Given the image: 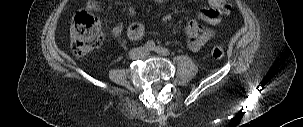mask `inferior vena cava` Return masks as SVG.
<instances>
[{
  "instance_id": "obj_1",
  "label": "inferior vena cava",
  "mask_w": 303,
  "mask_h": 127,
  "mask_svg": "<svg viewBox=\"0 0 303 127\" xmlns=\"http://www.w3.org/2000/svg\"><path fill=\"white\" fill-rule=\"evenodd\" d=\"M145 53L140 48H134L129 52L131 59H139L144 57Z\"/></svg>"
}]
</instances>
